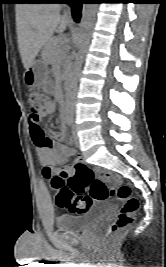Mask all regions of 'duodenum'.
<instances>
[{
    "label": "duodenum",
    "instance_id": "410a0bca",
    "mask_svg": "<svg viewBox=\"0 0 166 267\" xmlns=\"http://www.w3.org/2000/svg\"><path fill=\"white\" fill-rule=\"evenodd\" d=\"M68 85H69V77L65 76L62 79V82H61V90H62V92H65L67 90Z\"/></svg>",
    "mask_w": 166,
    "mask_h": 267
}]
</instances>
